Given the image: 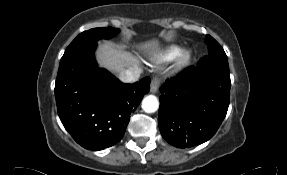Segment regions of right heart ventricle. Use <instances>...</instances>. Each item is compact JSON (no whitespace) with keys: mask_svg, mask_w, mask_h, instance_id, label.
Instances as JSON below:
<instances>
[{"mask_svg":"<svg viewBox=\"0 0 287 175\" xmlns=\"http://www.w3.org/2000/svg\"><path fill=\"white\" fill-rule=\"evenodd\" d=\"M180 51H181V47L179 45L171 44L156 54L155 61L157 63L168 62L176 58L178 54L180 53Z\"/></svg>","mask_w":287,"mask_h":175,"instance_id":"right-heart-ventricle-1","label":"right heart ventricle"}]
</instances>
